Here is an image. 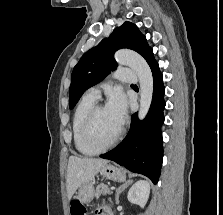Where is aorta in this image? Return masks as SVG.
Segmentation results:
<instances>
[{"label": "aorta", "mask_w": 223, "mask_h": 215, "mask_svg": "<svg viewBox=\"0 0 223 215\" xmlns=\"http://www.w3.org/2000/svg\"><path fill=\"white\" fill-rule=\"evenodd\" d=\"M115 58L119 64L132 68L137 73L140 84V108L138 117L144 119L151 106L153 96V76L144 58L132 50H118Z\"/></svg>", "instance_id": "1"}]
</instances>
